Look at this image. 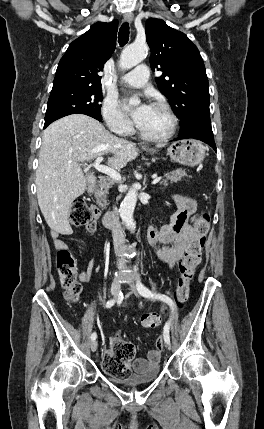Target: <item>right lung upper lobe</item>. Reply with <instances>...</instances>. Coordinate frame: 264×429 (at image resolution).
Here are the masks:
<instances>
[{"label":"right lung upper lobe","mask_w":264,"mask_h":429,"mask_svg":"<svg viewBox=\"0 0 264 429\" xmlns=\"http://www.w3.org/2000/svg\"><path fill=\"white\" fill-rule=\"evenodd\" d=\"M117 29V21L97 22L74 40L58 64L52 90L68 86L100 88L98 72L115 50Z\"/></svg>","instance_id":"right-lung-upper-lobe-1"}]
</instances>
